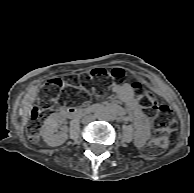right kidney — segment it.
I'll return each mask as SVG.
<instances>
[{
	"instance_id": "ca27d5eb",
	"label": "right kidney",
	"mask_w": 194,
	"mask_h": 193,
	"mask_svg": "<svg viewBox=\"0 0 194 193\" xmlns=\"http://www.w3.org/2000/svg\"><path fill=\"white\" fill-rule=\"evenodd\" d=\"M60 123L63 122L57 114H51L44 122L42 137L49 146H59L67 140V134L65 132L55 134Z\"/></svg>"
}]
</instances>
